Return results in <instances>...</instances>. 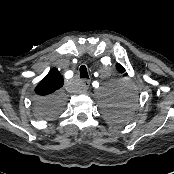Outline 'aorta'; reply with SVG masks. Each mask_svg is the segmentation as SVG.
<instances>
[{
	"mask_svg": "<svg viewBox=\"0 0 174 174\" xmlns=\"http://www.w3.org/2000/svg\"><path fill=\"white\" fill-rule=\"evenodd\" d=\"M102 94H103V96L105 97V98H108L109 97V92H107V91H102Z\"/></svg>",
	"mask_w": 174,
	"mask_h": 174,
	"instance_id": "762f6f07",
	"label": "aorta"
}]
</instances>
